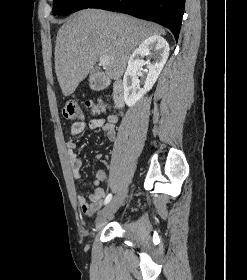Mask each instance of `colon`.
<instances>
[{"label":"colon","mask_w":247,"mask_h":280,"mask_svg":"<svg viewBox=\"0 0 247 280\" xmlns=\"http://www.w3.org/2000/svg\"><path fill=\"white\" fill-rule=\"evenodd\" d=\"M86 107L92 112H101L105 110V105L102 103H94L92 101L86 102ZM64 117L70 120H79L82 118V111L80 105L75 101L66 103L63 110Z\"/></svg>","instance_id":"colon-1"}]
</instances>
